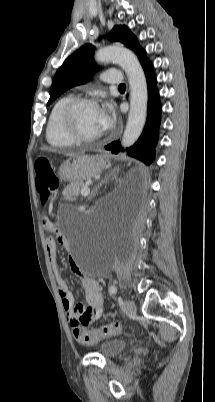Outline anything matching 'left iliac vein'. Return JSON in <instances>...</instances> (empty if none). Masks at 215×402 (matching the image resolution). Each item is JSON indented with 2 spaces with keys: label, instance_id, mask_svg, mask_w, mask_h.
Segmentation results:
<instances>
[{
  "label": "left iliac vein",
  "instance_id": "1",
  "mask_svg": "<svg viewBox=\"0 0 215 402\" xmlns=\"http://www.w3.org/2000/svg\"><path fill=\"white\" fill-rule=\"evenodd\" d=\"M125 309L128 313H134L136 311L135 303L131 300L125 301Z\"/></svg>",
  "mask_w": 215,
  "mask_h": 402
}]
</instances>
